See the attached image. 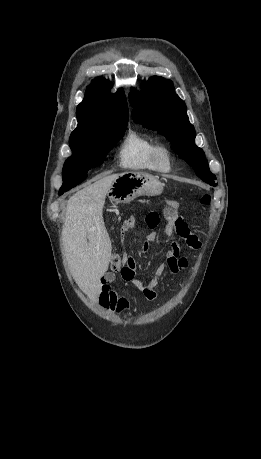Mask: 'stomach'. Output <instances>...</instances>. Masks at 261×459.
<instances>
[{"instance_id":"stomach-1","label":"stomach","mask_w":261,"mask_h":459,"mask_svg":"<svg viewBox=\"0 0 261 459\" xmlns=\"http://www.w3.org/2000/svg\"><path fill=\"white\" fill-rule=\"evenodd\" d=\"M163 185L154 176L144 172H124L109 188L108 194L116 203H129L140 196H156Z\"/></svg>"}]
</instances>
